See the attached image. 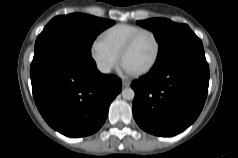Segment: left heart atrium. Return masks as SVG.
<instances>
[{"mask_svg": "<svg viewBox=\"0 0 238 158\" xmlns=\"http://www.w3.org/2000/svg\"><path fill=\"white\" fill-rule=\"evenodd\" d=\"M124 69H125L127 72H133V71H131L130 69H128L126 66H124Z\"/></svg>", "mask_w": 238, "mask_h": 158, "instance_id": "39dd6f15", "label": "left heart atrium"}]
</instances>
